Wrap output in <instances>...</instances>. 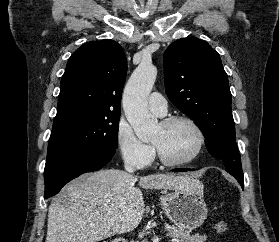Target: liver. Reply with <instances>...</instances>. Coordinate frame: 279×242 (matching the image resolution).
Listing matches in <instances>:
<instances>
[{"label":"liver","mask_w":279,"mask_h":242,"mask_svg":"<svg viewBox=\"0 0 279 242\" xmlns=\"http://www.w3.org/2000/svg\"><path fill=\"white\" fill-rule=\"evenodd\" d=\"M137 181L115 169L71 181L63 189L65 201L57 198L49 206L46 242H96L134 230L145 211ZM199 185L187 175L157 173L139 178L144 189L190 190Z\"/></svg>","instance_id":"6515ba94"}]
</instances>
